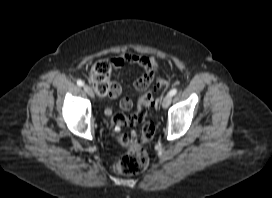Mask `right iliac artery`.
<instances>
[{
    "label": "right iliac artery",
    "mask_w": 272,
    "mask_h": 198,
    "mask_svg": "<svg viewBox=\"0 0 272 198\" xmlns=\"http://www.w3.org/2000/svg\"><path fill=\"white\" fill-rule=\"evenodd\" d=\"M77 85H78V86H83V85H84V82H83L82 80H78V81H77Z\"/></svg>",
    "instance_id": "right-iliac-artery-1"
}]
</instances>
